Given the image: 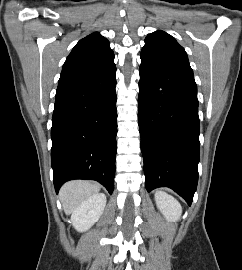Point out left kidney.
Segmentation results:
<instances>
[{
    "instance_id": "1",
    "label": "left kidney",
    "mask_w": 242,
    "mask_h": 270,
    "mask_svg": "<svg viewBox=\"0 0 242 270\" xmlns=\"http://www.w3.org/2000/svg\"><path fill=\"white\" fill-rule=\"evenodd\" d=\"M155 201L158 209L169 221H177L182 213V207L180 203L172 196L163 191H157L155 193Z\"/></svg>"
}]
</instances>
